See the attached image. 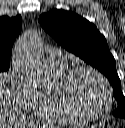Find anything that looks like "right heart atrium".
Returning <instances> with one entry per match:
<instances>
[{
    "label": "right heart atrium",
    "instance_id": "d8ad5b80",
    "mask_svg": "<svg viewBox=\"0 0 125 128\" xmlns=\"http://www.w3.org/2000/svg\"><path fill=\"white\" fill-rule=\"evenodd\" d=\"M8 79L12 105L21 111H30L38 95V90L24 73L16 69L9 73Z\"/></svg>",
    "mask_w": 125,
    "mask_h": 128
}]
</instances>
